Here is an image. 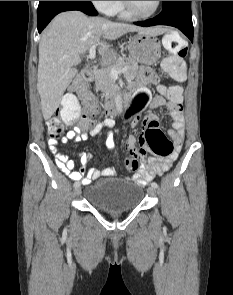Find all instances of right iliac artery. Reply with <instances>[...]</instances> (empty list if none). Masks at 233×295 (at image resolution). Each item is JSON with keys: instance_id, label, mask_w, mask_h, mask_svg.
<instances>
[{"instance_id": "obj_1", "label": "right iliac artery", "mask_w": 233, "mask_h": 295, "mask_svg": "<svg viewBox=\"0 0 233 295\" xmlns=\"http://www.w3.org/2000/svg\"><path fill=\"white\" fill-rule=\"evenodd\" d=\"M79 177H76L75 180H78ZM77 185V182L74 183V187Z\"/></svg>"}]
</instances>
